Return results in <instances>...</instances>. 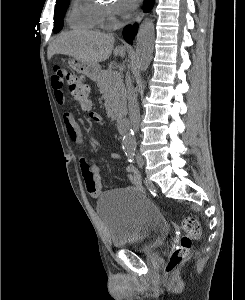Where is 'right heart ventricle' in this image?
<instances>
[{
  "label": "right heart ventricle",
  "mask_w": 245,
  "mask_h": 300,
  "mask_svg": "<svg viewBox=\"0 0 245 300\" xmlns=\"http://www.w3.org/2000/svg\"><path fill=\"white\" fill-rule=\"evenodd\" d=\"M100 23L99 5L92 0H74L68 15V24L71 28L93 30Z\"/></svg>",
  "instance_id": "e07e8e85"
}]
</instances>
